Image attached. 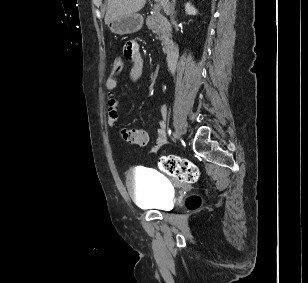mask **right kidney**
I'll list each match as a JSON object with an SVG mask.
<instances>
[{
	"label": "right kidney",
	"mask_w": 308,
	"mask_h": 283,
	"mask_svg": "<svg viewBox=\"0 0 308 283\" xmlns=\"http://www.w3.org/2000/svg\"><path fill=\"white\" fill-rule=\"evenodd\" d=\"M185 12L188 15H196L197 14V10L195 9V7L193 5H191L190 2H187L185 4Z\"/></svg>",
	"instance_id": "ca27d5eb"
}]
</instances>
